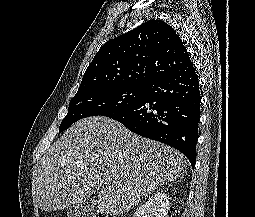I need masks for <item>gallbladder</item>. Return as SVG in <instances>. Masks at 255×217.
I'll list each match as a JSON object with an SVG mask.
<instances>
[{
	"instance_id": "obj_1",
	"label": "gallbladder",
	"mask_w": 255,
	"mask_h": 217,
	"mask_svg": "<svg viewBox=\"0 0 255 217\" xmlns=\"http://www.w3.org/2000/svg\"><path fill=\"white\" fill-rule=\"evenodd\" d=\"M97 212L96 198L87 197L84 201L71 206L67 211L68 217H91Z\"/></svg>"
}]
</instances>
